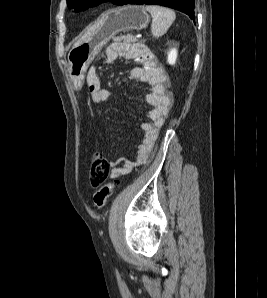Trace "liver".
<instances>
[{
	"mask_svg": "<svg viewBox=\"0 0 267 298\" xmlns=\"http://www.w3.org/2000/svg\"><path fill=\"white\" fill-rule=\"evenodd\" d=\"M101 21L97 22L96 24H94L92 27H90L85 34L74 44L73 47L83 43L84 41H87L92 34L99 28V26L101 25Z\"/></svg>",
	"mask_w": 267,
	"mask_h": 298,
	"instance_id": "obj_1",
	"label": "liver"
}]
</instances>
